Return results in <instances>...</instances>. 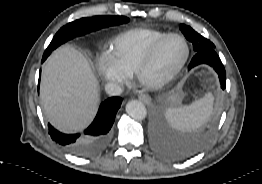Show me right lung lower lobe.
Returning <instances> with one entry per match:
<instances>
[{"instance_id":"obj_1","label":"right lung lower lobe","mask_w":262,"mask_h":184,"mask_svg":"<svg viewBox=\"0 0 262 184\" xmlns=\"http://www.w3.org/2000/svg\"><path fill=\"white\" fill-rule=\"evenodd\" d=\"M121 103L120 97H111L105 100L100 105L96 118L82 136L80 134H63L48 124L49 134L54 141L74 154H97L104 150L110 141V129Z\"/></svg>"}]
</instances>
